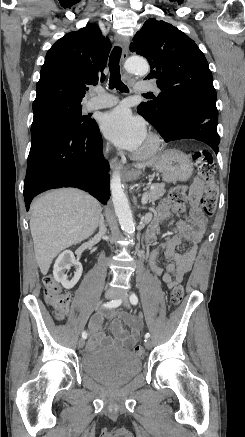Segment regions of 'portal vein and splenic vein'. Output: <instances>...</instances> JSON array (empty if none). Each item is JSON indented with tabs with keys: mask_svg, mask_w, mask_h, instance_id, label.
<instances>
[{
	"mask_svg": "<svg viewBox=\"0 0 245 437\" xmlns=\"http://www.w3.org/2000/svg\"><path fill=\"white\" fill-rule=\"evenodd\" d=\"M141 201H142L143 204L147 203L148 199H147V194L146 193L143 194Z\"/></svg>",
	"mask_w": 245,
	"mask_h": 437,
	"instance_id": "obj_1",
	"label": "portal vein and splenic vein"
}]
</instances>
